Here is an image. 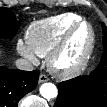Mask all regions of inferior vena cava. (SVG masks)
<instances>
[{"label":"inferior vena cava","instance_id":"1","mask_svg":"<svg viewBox=\"0 0 107 107\" xmlns=\"http://www.w3.org/2000/svg\"><path fill=\"white\" fill-rule=\"evenodd\" d=\"M16 67L24 71H32L34 69L32 63L26 59L19 58L15 62Z\"/></svg>","mask_w":107,"mask_h":107}]
</instances>
